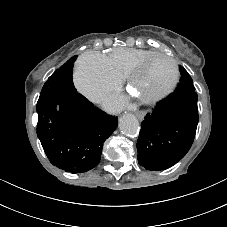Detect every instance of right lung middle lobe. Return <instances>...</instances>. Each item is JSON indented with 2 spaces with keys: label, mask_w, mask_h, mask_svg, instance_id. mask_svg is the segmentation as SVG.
Returning a JSON list of instances; mask_svg holds the SVG:
<instances>
[{
  "label": "right lung middle lobe",
  "mask_w": 227,
  "mask_h": 227,
  "mask_svg": "<svg viewBox=\"0 0 227 227\" xmlns=\"http://www.w3.org/2000/svg\"><path fill=\"white\" fill-rule=\"evenodd\" d=\"M77 56L69 59L59 69H57L44 84L41 93L46 91H54L56 93H63L68 91L76 92L73 84L72 73L73 63Z\"/></svg>",
  "instance_id": "obj_1"
}]
</instances>
